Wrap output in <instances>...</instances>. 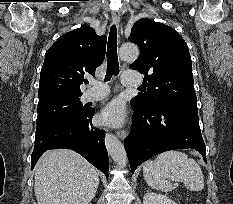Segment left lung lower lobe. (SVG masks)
<instances>
[{
	"mask_svg": "<svg viewBox=\"0 0 233 204\" xmlns=\"http://www.w3.org/2000/svg\"><path fill=\"white\" fill-rule=\"evenodd\" d=\"M131 105L136 112L135 128L124 140V147L132 173L146 160L174 149H196L207 163L197 104L159 101L147 107Z\"/></svg>",
	"mask_w": 233,
	"mask_h": 204,
	"instance_id": "1",
	"label": "left lung lower lobe"
}]
</instances>
